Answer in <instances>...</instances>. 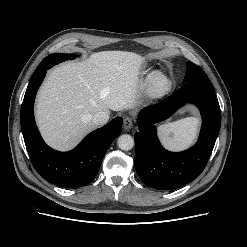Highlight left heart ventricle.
I'll list each match as a JSON object with an SVG mask.
<instances>
[{"mask_svg": "<svg viewBox=\"0 0 247 247\" xmlns=\"http://www.w3.org/2000/svg\"><path fill=\"white\" fill-rule=\"evenodd\" d=\"M157 84H158V86H162L163 85V81L160 80V81L157 82Z\"/></svg>", "mask_w": 247, "mask_h": 247, "instance_id": "b2bd125f", "label": "left heart ventricle"}]
</instances>
